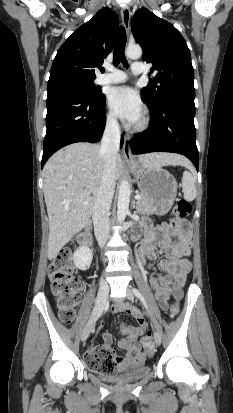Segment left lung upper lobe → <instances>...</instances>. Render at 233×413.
<instances>
[{
    "mask_svg": "<svg viewBox=\"0 0 233 413\" xmlns=\"http://www.w3.org/2000/svg\"><path fill=\"white\" fill-rule=\"evenodd\" d=\"M135 40L143 48L142 59L152 63L154 74L142 95L150 107L181 100L194 105V72L188 46L179 31L167 21L142 8L132 19Z\"/></svg>",
    "mask_w": 233,
    "mask_h": 413,
    "instance_id": "obj_1",
    "label": "left lung upper lobe"
}]
</instances>
